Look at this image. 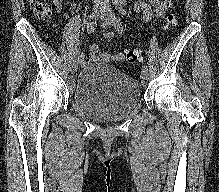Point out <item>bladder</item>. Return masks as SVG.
Instances as JSON below:
<instances>
[{"label": "bladder", "mask_w": 219, "mask_h": 192, "mask_svg": "<svg viewBox=\"0 0 219 192\" xmlns=\"http://www.w3.org/2000/svg\"><path fill=\"white\" fill-rule=\"evenodd\" d=\"M71 102L96 121H120L141 106L142 91L113 65L91 62L80 72Z\"/></svg>", "instance_id": "1"}]
</instances>
